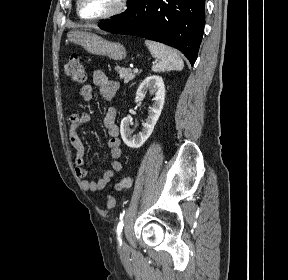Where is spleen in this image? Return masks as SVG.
<instances>
[{"label":"spleen","mask_w":288,"mask_h":280,"mask_svg":"<svg viewBox=\"0 0 288 280\" xmlns=\"http://www.w3.org/2000/svg\"><path fill=\"white\" fill-rule=\"evenodd\" d=\"M145 44L151 55L159 60V62L152 67L153 72L183 69V60L171 47L151 40H146Z\"/></svg>","instance_id":"3e777b00"}]
</instances>
